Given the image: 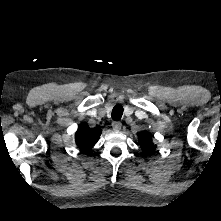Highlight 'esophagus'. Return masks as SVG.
<instances>
[{
  "instance_id": "34e87169",
  "label": "esophagus",
  "mask_w": 221,
  "mask_h": 221,
  "mask_svg": "<svg viewBox=\"0 0 221 221\" xmlns=\"http://www.w3.org/2000/svg\"><path fill=\"white\" fill-rule=\"evenodd\" d=\"M112 127H113V130L119 131V130H121L122 123L119 122V121H113L112 122Z\"/></svg>"
}]
</instances>
